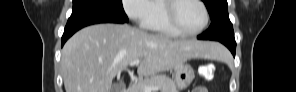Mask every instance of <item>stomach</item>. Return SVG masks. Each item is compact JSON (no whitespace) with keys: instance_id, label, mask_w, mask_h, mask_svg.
I'll return each instance as SVG.
<instances>
[{"instance_id":"0dacf381","label":"stomach","mask_w":296,"mask_h":92,"mask_svg":"<svg viewBox=\"0 0 296 92\" xmlns=\"http://www.w3.org/2000/svg\"><path fill=\"white\" fill-rule=\"evenodd\" d=\"M193 79L194 70L189 64H182L175 70L174 81L177 88H187Z\"/></svg>"}]
</instances>
